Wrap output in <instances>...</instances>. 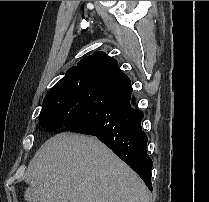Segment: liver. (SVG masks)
<instances>
[{"label":"liver","instance_id":"6515ba94","mask_svg":"<svg viewBox=\"0 0 209 202\" xmlns=\"http://www.w3.org/2000/svg\"><path fill=\"white\" fill-rule=\"evenodd\" d=\"M27 202H149L142 180L96 138L59 133L26 173Z\"/></svg>","mask_w":209,"mask_h":202}]
</instances>
